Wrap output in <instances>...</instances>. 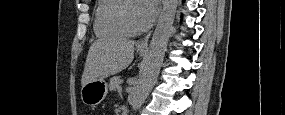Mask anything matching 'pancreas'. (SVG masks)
<instances>
[{
	"mask_svg": "<svg viewBox=\"0 0 285 115\" xmlns=\"http://www.w3.org/2000/svg\"><path fill=\"white\" fill-rule=\"evenodd\" d=\"M122 80L120 79L119 76H114L110 78L109 80V89L110 91H115L118 90V87L120 86Z\"/></svg>",
	"mask_w": 285,
	"mask_h": 115,
	"instance_id": "obj_1",
	"label": "pancreas"
}]
</instances>
